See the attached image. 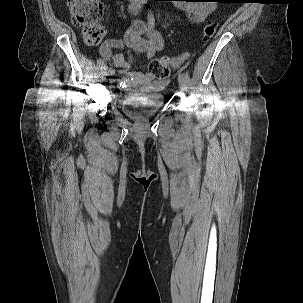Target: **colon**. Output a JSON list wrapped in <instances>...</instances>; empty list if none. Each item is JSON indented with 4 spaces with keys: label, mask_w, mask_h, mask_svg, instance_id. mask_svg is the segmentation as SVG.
I'll list each match as a JSON object with an SVG mask.
<instances>
[{
    "label": "colon",
    "mask_w": 303,
    "mask_h": 303,
    "mask_svg": "<svg viewBox=\"0 0 303 303\" xmlns=\"http://www.w3.org/2000/svg\"><path fill=\"white\" fill-rule=\"evenodd\" d=\"M67 5L74 25L83 32L85 42L91 46L101 43L105 35L100 23L103 13L101 0H67ZM216 29L214 22L207 23L203 29L204 38H212ZM179 62L169 56L154 58L149 63V72L158 79H164L170 75L171 67Z\"/></svg>",
    "instance_id": "1"
}]
</instances>
